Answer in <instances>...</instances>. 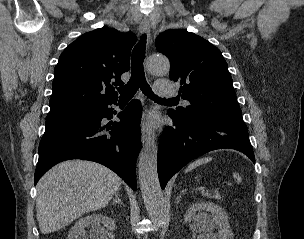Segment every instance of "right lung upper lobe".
I'll return each mask as SVG.
<instances>
[{"mask_svg": "<svg viewBox=\"0 0 304 239\" xmlns=\"http://www.w3.org/2000/svg\"><path fill=\"white\" fill-rule=\"evenodd\" d=\"M136 36L103 27L72 42L60 55L54 70L50 112L46 121L83 115L118 98L114 86L130 68Z\"/></svg>", "mask_w": 304, "mask_h": 239, "instance_id": "1", "label": "right lung upper lobe"}]
</instances>
